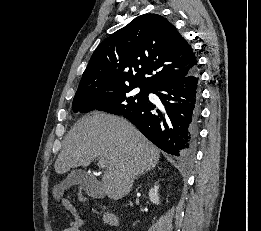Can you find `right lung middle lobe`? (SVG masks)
<instances>
[{
  "label": "right lung middle lobe",
  "mask_w": 261,
  "mask_h": 231,
  "mask_svg": "<svg viewBox=\"0 0 261 231\" xmlns=\"http://www.w3.org/2000/svg\"><path fill=\"white\" fill-rule=\"evenodd\" d=\"M136 87L138 86L126 85L75 96L72 103L73 112L86 113L97 109L115 115H123L149 101L150 90L139 87L140 92L136 94L133 92Z\"/></svg>",
  "instance_id": "obj_1"
}]
</instances>
